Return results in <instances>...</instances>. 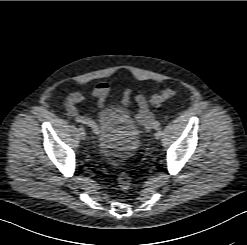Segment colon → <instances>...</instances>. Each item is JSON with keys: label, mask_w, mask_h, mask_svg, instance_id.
Segmentation results:
<instances>
[{"label": "colon", "mask_w": 247, "mask_h": 245, "mask_svg": "<svg viewBox=\"0 0 247 245\" xmlns=\"http://www.w3.org/2000/svg\"><path fill=\"white\" fill-rule=\"evenodd\" d=\"M177 94L175 89L168 88L164 90L162 93L155 94L151 98V102L156 106L159 107L165 102L166 100L174 97ZM118 186L122 191H127L131 187V178L129 174L125 171H122L118 174L117 177Z\"/></svg>", "instance_id": "colon-1"}]
</instances>
